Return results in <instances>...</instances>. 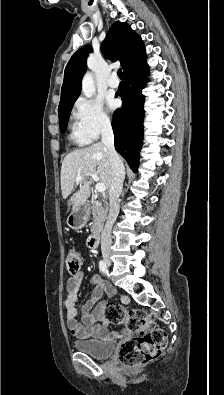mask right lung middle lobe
<instances>
[{
  "instance_id": "dd1d6c3e",
  "label": "right lung middle lobe",
  "mask_w": 224,
  "mask_h": 395,
  "mask_svg": "<svg viewBox=\"0 0 224 395\" xmlns=\"http://www.w3.org/2000/svg\"><path fill=\"white\" fill-rule=\"evenodd\" d=\"M76 99H74L69 105L65 106L64 108L58 109L59 126L62 133L66 131V126L70 116V112Z\"/></svg>"
}]
</instances>
